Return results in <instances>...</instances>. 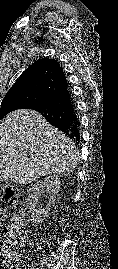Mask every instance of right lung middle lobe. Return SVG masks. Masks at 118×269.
Masks as SVG:
<instances>
[{
	"label": "right lung middle lobe",
	"instance_id": "obj_1",
	"mask_svg": "<svg viewBox=\"0 0 118 269\" xmlns=\"http://www.w3.org/2000/svg\"><path fill=\"white\" fill-rule=\"evenodd\" d=\"M26 96L23 94L5 95L0 108V120L8 113L25 108Z\"/></svg>",
	"mask_w": 118,
	"mask_h": 269
}]
</instances>
